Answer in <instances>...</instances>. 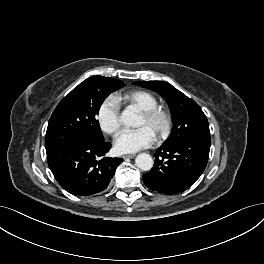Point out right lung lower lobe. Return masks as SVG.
Returning <instances> with one entry per match:
<instances>
[{"mask_svg":"<svg viewBox=\"0 0 264 264\" xmlns=\"http://www.w3.org/2000/svg\"><path fill=\"white\" fill-rule=\"evenodd\" d=\"M109 142H75L47 152L57 182L69 193L88 196L104 191L122 158L106 157Z\"/></svg>","mask_w":264,"mask_h":264,"instance_id":"obj_1","label":"right lung lower lobe"}]
</instances>
